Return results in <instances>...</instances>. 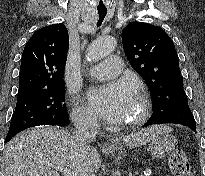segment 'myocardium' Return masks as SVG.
Here are the masks:
<instances>
[{
    "label": "myocardium",
    "mask_w": 205,
    "mask_h": 176,
    "mask_svg": "<svg viewBox=\"0 0 205 176\" xmlns=\"http://www.w3.org/2000/svg\"><path fill=\"white\" fill-rule=\"evenodd\" d=\"M137 99L141 105V111L138 117L135 119L125 122L122 124V127L133 128L138 127L144 124L150 116L151 107L148 97L144 93H139Z\"/></svg>",
    "instance_id": "1"
}]
</instances>
